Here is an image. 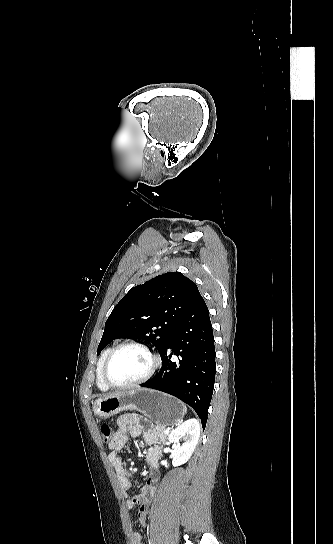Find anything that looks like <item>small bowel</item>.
Listing matches in <instances>:
<instances>
[{"label": "small bowel", "mask_w": 333, "mask_h": 544, "mask_svg": "<svg viewBox=\"0 0 333 544\" xmlns=\"http://www.w3.org/2000/svg\"><path fill=\"white\" fill-rule=\"evenodd\" d=\"M118 429L114 433L112 440L109 442V461L113 466L119 486L127 497L128 491L131 489L130 473L124 467L120 458V451L125 447L128 441V435L134 437L143 436L146 443L150 446V450L146 455V463L149 466V473L146 483L141 487L138 496L127 499L128 508L137 507L138 519L141 524L147 522V514L151 499L157 489L159 483L158 459L160 449L157 446V438L154 432L147 429L142 420L134 415H122L117 420ZM133 544H142L141 535L138 532L132 534Z\"/></svg>", "instance_id": "small-bowel-1"}]
</instances>
